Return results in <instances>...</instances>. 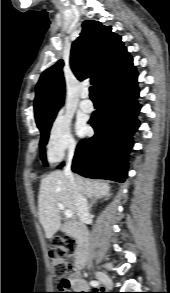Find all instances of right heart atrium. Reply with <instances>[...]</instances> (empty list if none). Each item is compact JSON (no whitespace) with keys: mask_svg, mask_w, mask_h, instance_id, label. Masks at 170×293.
I'll use <instances>...</instances> for the list:
<instances>
[{"mask_svg":"<svg viewBox=\"0 0 170 293\" xmlns=\"http://www.w3.org/2000/svg\"><path fill=\"white\" fill-rule=\"evenodd\" d=\"M76 143L71 134V122L63 114H58L48 131L46 153L51 163L59 162L66 153H73Z\"/></svg>","mask_w":170,"mask_h":293,"instance_id":"d8ad5b80","label":"right heart atrium"}]
</instances>
